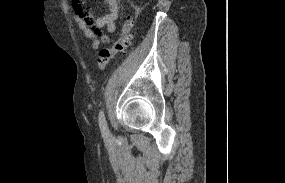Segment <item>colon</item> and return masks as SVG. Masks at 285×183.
Instances as JSON below:
<instances>
[{
  "instance_id": "1",
  "label": "colon",
  "mask_w": 285,
  "mask_h": 183,
  "mask_svg": "<svg viewBox=\"0 0 285 183\" xmlns=\"http://www.w3.org/2000/svg\"><path fill=\"white\" fill-rule=\"evenodd\" d=\"M74 11L79 12V9L74 7ZM133 27V15L127 14L123 21L121 34L111 46L101 48L98 53L97 68L99 70L105 69L118 54L125 53L129 48L132 40L131 29Z\"/></svg>"
}]
</instances>
